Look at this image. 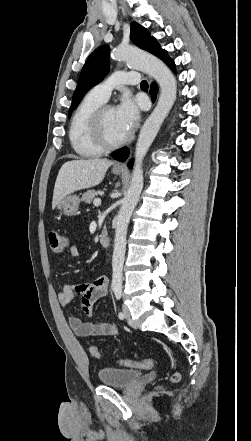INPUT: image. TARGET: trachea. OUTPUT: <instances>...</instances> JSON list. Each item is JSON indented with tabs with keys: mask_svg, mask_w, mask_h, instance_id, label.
Segmentation results:
<instances>
[{
	"mask_svg": "<svg viewBox=\"0 0 251 441\" xmlns=\"http://www.w3.org/2000/svg\"><path fill=\"white\" fill-rule=\"evenodd\" d=\"M140 86H141L142 88H146V87H148V83H147V81L143 80V81L141 82Z\"/></svg>",
	"mask_w": 251,
	"mask_h": 441,
	"instance_id": "1",
	"label": "trachea"
}]
</instances>
